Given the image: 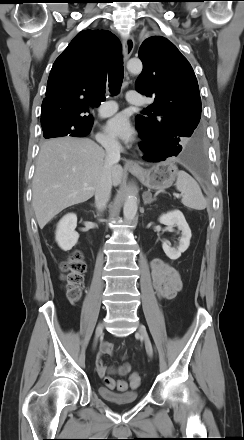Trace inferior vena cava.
<instances>
[{
	"mask_svg": "<svg viewBox=\"0 0 244 440\" xmlns=\"http://www.w3.org/2000/svg\"><path fill=\"white\" fill-rule=\"evenodd\" d=\"M102 145L106 151V164L95 190V203L98 211H103L110 199L112 189L110 169L120 160V145L115 139H108Z\"/></svg>",
	"mask_w": 244,
	"mask_h": 440,
	"instance_id": "obj_1",
	"label": "inferior vena cava"
}]
</instances>
